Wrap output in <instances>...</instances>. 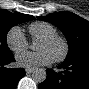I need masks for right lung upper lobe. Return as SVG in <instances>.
<instances>
[{
	"label": "right lung upper lobe",
	"mask_w": 89,
	"mask_h": 89,
	"mask_svg": "<svg viewBox=\"0 0 89 89\" xmlns=\"http://www.w3.org/2000/svg\"><path fill=\"white\" fill-rule=\"evenodd\" d=\"M15 14H18V15L24 17V18L29 19V21L35 19V17L34 16H31V15H26V14H21V13H15Z\"/></svg>",
	"instance_id": "1"
}]
</instances>
